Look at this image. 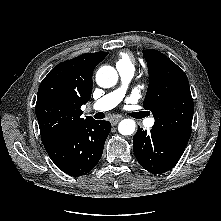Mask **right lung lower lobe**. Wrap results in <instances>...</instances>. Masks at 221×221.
<instances>
[{
	"label": "right lung lower lobe",
	"mask_w": 221,
	"mask_h": 221,
	"mask_svg": "<svg viewBox=\"0 0 221 221\" xmlns=\"http://www.w3.org/2000/svg\"><path fill=\"white\" fill-rule=\"evenodd\" d=\"M110 129V122L93 119L45 149L61 171L82 176L99 162Z\"/></svg>",
	"instance_id": "obj_1"
}]
</instances>
